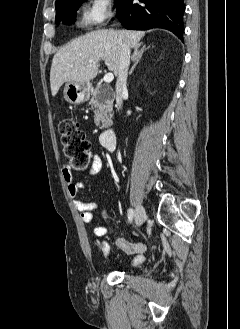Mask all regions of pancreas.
<instances>
[{"label": "pancreas", "instance_id": "obj_1", "mask_svg": "<svg viewBox=\"0 0 240 329\" xmlns=\"http://www.w3.org/2000/svg\"><path fill=\"white\" fill-rule=\"evenodd\" d=\"M89 104L94 109V122L101 129L108 128L112 122L113 116V99L108 95H104L100 87H97L92 92V97L89 99Z\"/></svg>", "mask_w": 240, "mask_h": 329}]
</instances>
